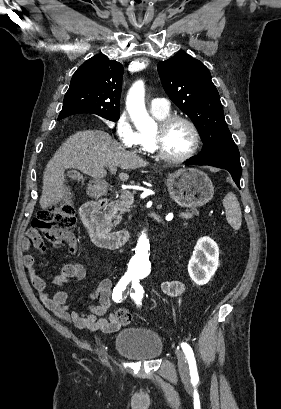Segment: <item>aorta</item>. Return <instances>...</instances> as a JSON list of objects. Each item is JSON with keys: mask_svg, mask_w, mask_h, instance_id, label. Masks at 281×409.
<instances>
[{"mask_svg": "<svg viewBox=\"0 0 281 409\" xmlns=\"http://www.w3.org/2000/svg\"><path fill=\"white\" fill-rule=\"evenodd\" d=\"M127 109L138 130L149 131L153 128L154 121L146 111L144 91L141 85L137 86L129 95Z\"/></svg>", "mask_w": 281, "mask_h": 409, "instance_id": "obj_1", "label": "aorta"}]
</instances>
